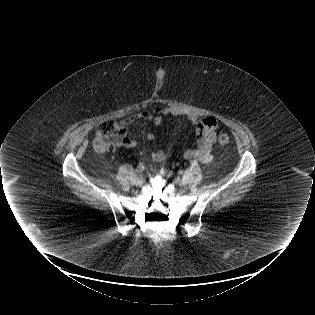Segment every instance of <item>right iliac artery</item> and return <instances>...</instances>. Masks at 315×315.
Returning <instances> with one entry per match:
<instances>
[{"mask_svg": "<svg viewBox=\"0 0 315 315\" xmlns=\"http://www.w3.org/2000/svg\"><path fill=\"white\" fill-rule=\"evenodd\" d=\"M138 171H139L140 173H142V172L144 171V165H143V164H139V166H138Z\"/></svg>", "mask_w": 315, "mask_h": 315, "instance_id": "1", "label": "right iliac artery"}]
</instances>
